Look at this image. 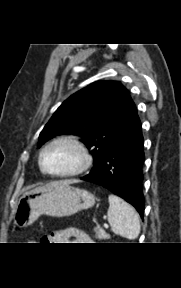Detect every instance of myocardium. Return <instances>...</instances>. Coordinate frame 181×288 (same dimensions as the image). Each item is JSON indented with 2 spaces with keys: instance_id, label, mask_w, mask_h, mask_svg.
<instances>
[{
  "instance_id": "1",
  "label": "myocardium",
  "mask_w": 181,
  "mask_h": 288,
  "mask_svg": "<svg viewBox=\"0 0 181 288\" xmlns=\"http://www.w3.org/2000/svg\"><path fill=\"white\" fill-rule=\"evenodd\" d=\"M56 144H68L74 147L78 151L79 156H80V163L75 169L68 171V172H64V173H54V172L49 171L45 167L44 155L49 148H51L52 146ZM91 162H92V159H91L88 149L86 148L84 143L75 135H61L59 137L52 139L43 147V149L41 150L39 154L40 169L46 175L51 176V177H56V178H69V177L80 175L81 173H83L89 168V166L91 165Z\"/></svg>"
}]
</instances>
